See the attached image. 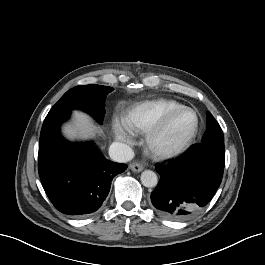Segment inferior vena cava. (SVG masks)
Returning <instances> with one entry per match:
<instances>
[{
	"label": "inferior vena cava",
	"instance_id": "602c4592",
	"mask_svg": "<svg viewBox=\"0 0 265 265\" xmlns=\"http://www.w3.org/2000/svg\"><path fill=\"white\" fill-rule=\"evenodd\" d=\"M109 156L115 162L126 163L133 159L134 152L127 144L113 142L109 147Z\"/></svg>",
	"mask_w": 265,
	"mask_h": 265
}]
</instances>
